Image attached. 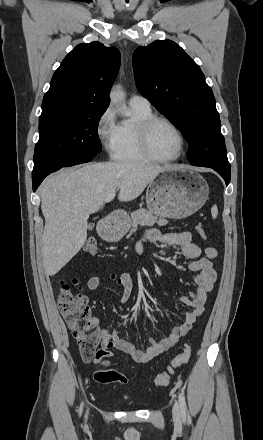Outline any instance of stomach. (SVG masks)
Instances as JSON below:
<instances>
[{
  "instance_id": "0dacf381",
  "label": "stomach",
  "mask_w": 263,
  "mask_h": 440,
  "mask_svg": "<svg viewBox=\"0 0 263 440\" xmlns=\"http://www.w3.org/2000/svg\"><path fill=\"white\" fill-rule=\"evenodd\" d=\"M209 187L205 179L189 169L174 167L153 180L146 193L148 210L157 216L184 219L197 212L206 202ZM129 228V220L114 225L106 235L110 241L120 240Z\"/></svg>"
}]
</instances>
